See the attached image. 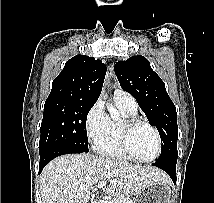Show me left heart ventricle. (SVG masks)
<instances>
[{"label":"left heart ventricle","mask_w":214,"mask_h":203,"mask_svg":"<svg viewBox=\"0 0 214 203\" xmlns=\"http://www.w3.org/2000/svg\"><path fill=\"white\" fill-rule=\"evenodd\" d=\"M132 153L140 159H149L156 153V138L153 131L144 125L133 129L130 136Z\"/></svg>","instance_id":"b2bd125f"}]
</instances>
